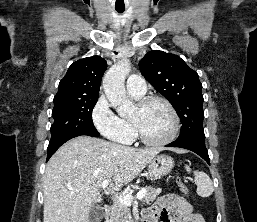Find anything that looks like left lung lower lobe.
Listing matches in <instances>:
<instances>
[{"mask_svg": "<svg viewBox=\"0 0 257 222\" xmlns=\"http://www.w3.org/2000/svg\"><path fill=\"white\" fill-rule=\"evenodd\" d=\"M167 147H179L191 150L201 156L209 165L210 159L205 146V139H188V140H175L174 142L166 145Z\"/></svg>", "mask_w": 257, "mask_h": 222, "instance_id": "0a47b994", "label": "left lung lower lobe"}]
</instances>
